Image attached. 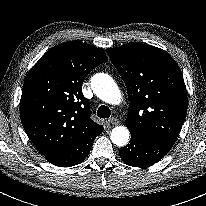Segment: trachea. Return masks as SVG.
Returning <instances> with one entry per match:
<instances>
[{
  "label": "trachea",
  "instance_id": "3493384b",
  "mask_svg": "<svg viewBox=\"0 0 206 206\" xmlns=\"http://www.w3.org/2000/svg\"><path fill=\"white\" fill-rule=\"evenodd\" d=\"M111 115V110L105 105H101L97 110V116L100 118H109Z\"/></svg>",
  "mask_w": 206,
  "mask_h": 206
}]
</instances>
